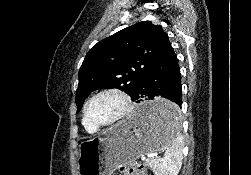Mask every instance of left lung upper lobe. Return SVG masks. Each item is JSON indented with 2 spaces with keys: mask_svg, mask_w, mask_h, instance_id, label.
<instances>
[{
  "mask_svg": "<svg viewBox=\"0 0 251 175\" xmlns=\"http://www.w3.org/2000/svg\"><path fill=\"white\" fill-rule=\"evenodd\" d=\"M168 41L161 25L142 21L95 44L79 70L77 112L85 98L96 89L118 88L132 98L142 77Z\"/></svg>",
  "mask_w": 251,
  "mask_h": 175,
  "instance_id": "1",
  "label": "left lung upper lobe"
}]
</instances>
